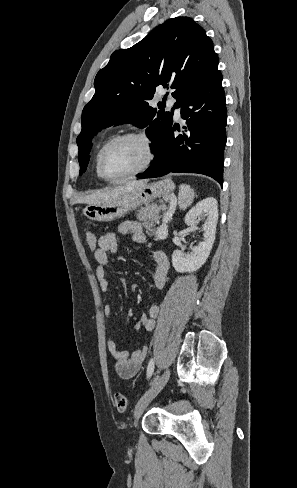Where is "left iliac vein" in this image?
<instances>
[{"label":"left iliac vein","mask_w":297,"mask_h":488,"mask_svg":"<svg viewBox=\"0 0 297 488\" xmlns=\"http://www.w3.org/2000/svg\"><path fill=\"white\" fill-rule=\"evenodd\" d=\"M170 371L166 370L157 380H155L151 387L143 394L137 402L134 409V417L138 419L149 403L161 392L168 382Z\"/></svg>","instance_id":"1"}]
</instances>
